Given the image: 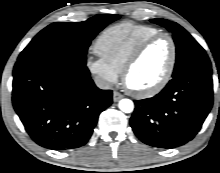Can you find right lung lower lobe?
<instances>
[{"mask_svg":"<svg viewBox=\"0 0 220 173\" xmlns=\"http://www.w3.org/2000/svg\"><path fill=\"white\" fill-rule=\"evenodd\" d=\"M112 91L98 89L85 63L53 53L18 60L13 71V106L40 146L66 150L83 146Z\"/></svg>","mask_w":220,"mask_h":173,"instance_id":"1","label":"right lung lower lobe"}]
</instances>
